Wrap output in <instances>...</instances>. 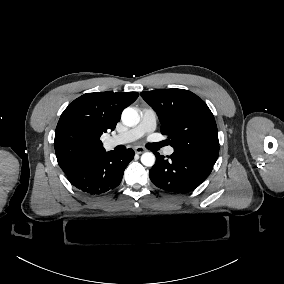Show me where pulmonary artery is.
I'll use <instances>...</instances> for the list:
<instances>
[{
  "label": "pulmonary artery",
  "mask_w": 284,
  "mask_h": 284,
  "mask_svg": "<svg viewBox=\"0 0 284 284\" xmlns=\"http://www.w3.org/2000/svg\"><path fill=\"white\" fill-rule=\"evenodd\" d=\"M156 121H157V116L155 112L151 109L144 108L142 110L141 120L136 126L127 130L124 133H120L109 137L106 140V145L117 146L133 142L141 138L143 135L155 130Z\"/></svg>",
  "instance_id": "e3ab8cb5"
}]
</instances>
